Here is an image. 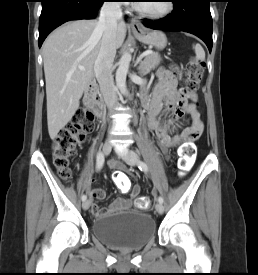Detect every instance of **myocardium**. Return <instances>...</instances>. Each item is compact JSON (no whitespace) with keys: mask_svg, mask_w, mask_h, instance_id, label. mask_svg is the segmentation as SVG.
<instances>
[{"mask_svg":"<svg viewBox=\"0 0 258 275\" xmlns=\"http://www.w3.org/2000/svg\"><path fill=\"white\" fill-rule=\"evenodd\" d=\"M135 9L137 10V12H139L141 15H143L145 17H148L151 19H160V18H164V17L168 16L169 14H171L173 12L174 3L172 0H167L165 9L158 13H154V12L145 10L142 7H140L139 5H136Z\"/></svg>","mask_w":258,"mask_h":275,"instance_id":"f54148a6","label":"myocardium"}]
</instances>
